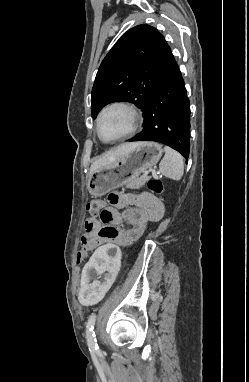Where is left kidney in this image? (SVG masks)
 I'll list each match as a JSON object with an SVG mask.
<instances>
[{
    "mask_svg": "<svg viewBox=\"0 0 249 382\" xmlns=\"http://www.w3.org/2000/svg\"><path fill=\"white\" fill-rule=\"evenodd\" d=\"M121 262L120 245H97L80 272L75 300L87 309L95 302H102L104 293L113 287L115 277L120 276Z\"/></svg>",
    "mask_w": 249,
    "mask_h": 382,
    "instance_id": "left-kidney-1",
    "label": "left kidney"
}]
</instances>
